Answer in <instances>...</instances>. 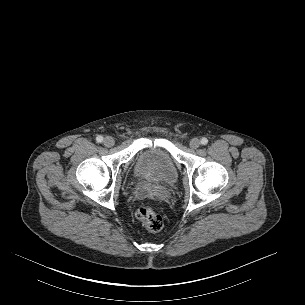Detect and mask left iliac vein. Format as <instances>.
<instances>
[{
  "instance_id": "1",
  "label": "left iliac vein",
  "mask_w": 305,
  "mask_h": 305,
  "mask_svg": "<svg viewBox=\"0 0 305 305\" xmlns=\"http://www.w3.org/2000/svg\"><path fill=\"white\" fill-rule=\"evenodd\" d=\"M200 146V140L198 138H193L190 140V147L192 149H197Z\"/></svg>"
}]
</instances>
